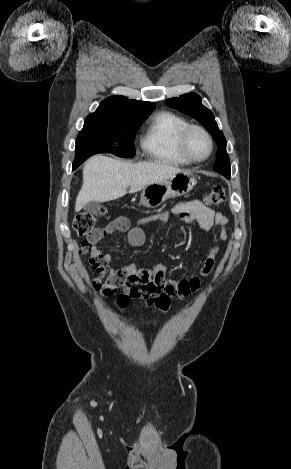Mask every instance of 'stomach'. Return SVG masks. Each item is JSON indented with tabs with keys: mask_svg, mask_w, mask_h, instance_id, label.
Here are the masks:
<instances>
[{
	"mask_svg": "<svg viewBox=\"0 0 291 469\" xmlns=\"http://www.w3.org/2000/svg\"><path fill=\"white\" fill-rule=\"evenodd\" d=\"M196 184L191 172L181 171L163 181L146 186L140 197V205L147 208L160 206L169 198H176L187 194Z\"/></svg>",
	"mask_w": 291,
	"mask_h": 469,
	"instance_id": "stomach-1",
	"label": "stomach"
}]
</instances>
